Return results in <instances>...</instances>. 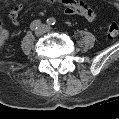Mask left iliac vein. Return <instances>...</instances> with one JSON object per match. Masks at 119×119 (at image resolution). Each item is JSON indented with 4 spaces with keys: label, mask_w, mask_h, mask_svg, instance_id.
Returning a JSON list of instances; mask_svg holds the SVG:
<instances>
[{
    "label": "left iliac vein",
    "mask_w": 119,
    "mask_h": 119,
    "mask_svg": "<svg viewBox=\"0 0 119 119\" xmlns=\"http://www.w3.org/2000/svg\"><path fill=\"white\" fill-rule=\"evenodd\" d=\"M50 29L49 28H46V31H49Z\"/></svg>",
    "instance_id": "4c4485c4"
}]
</instances>
